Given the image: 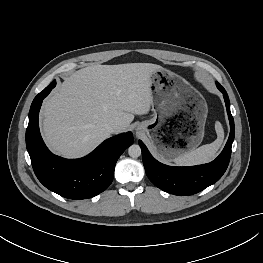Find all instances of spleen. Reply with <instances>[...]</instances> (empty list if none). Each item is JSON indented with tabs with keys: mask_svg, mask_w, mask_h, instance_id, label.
Masks as SVG:
<instances>
[{
	"mask_svg": "<svg viewBox=\"0 0 263 263\" xmlns=\"http://www.w3.org/2000/svg\"><path fill=\"white\" fill-rule=\"evenodd\" d=\"M215 130L217 133L215 141L176 157L173 162L179 166H193L212 161L216 157L224 140V130L219 121L215 123Z\"/></svg>",
	"mask_w": 263,
	"mask_h": 263,
	"instance_id": "obj_1",
	"label": "spleen"
}]
</instances>
